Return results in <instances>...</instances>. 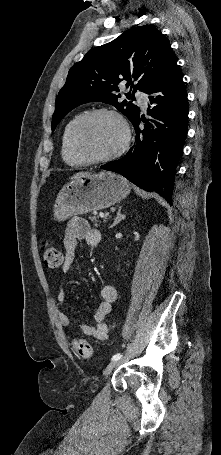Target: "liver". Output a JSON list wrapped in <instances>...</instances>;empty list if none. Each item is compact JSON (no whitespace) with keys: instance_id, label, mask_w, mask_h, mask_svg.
Masks as SVG:
<instances>
[{"instance_id":"6515ba94","label":"liver","mask_w":221,"mask_h":455,"mask_svg":"<svg viewBox=\"0 0 221 455\" xmlns=\"http://www.w3.org/2000/svg\"><path fill=\"white\" fill-rule=\"evenodd\" d=\"M88 175H91V173H88V172H79V173H76L73 177H71V179H77L79 177H84V176H88Z\"/></svg>"}]
</instances>
